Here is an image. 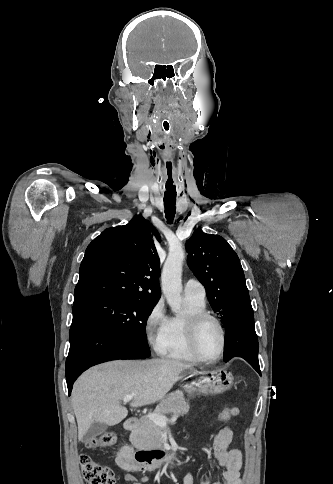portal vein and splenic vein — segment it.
<instances>
[{
    "label": "portal vein and splenic vein",
    "instance_id": "18ae733b",
    "mask_svg": "<svg viewBox=\"0 0 333 484\" xmlns=\"http://www.w3.org/2000/svg\"><path fill=\"white\" fill-rule=\"evenodd\" d=\"M135 396V393L133 394H130V395H126L123 397V401L124 402H129L133 399V397ZM147 417L152 420L155 424L157 425H160V426H165L167 425V423L170 421V422H174L177 420L178 417L174 416L170 419H168L166 416L164 415H161V414H157V413H150L147 415Z\"/></svg>",
    "mask_w": 333,
    "mask_h": 484
}]
</instances>
